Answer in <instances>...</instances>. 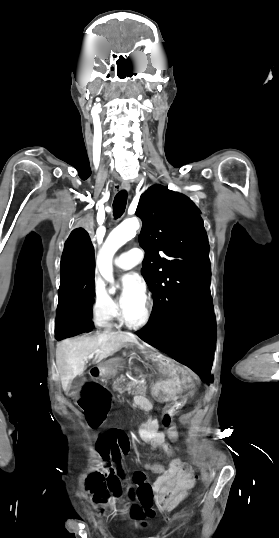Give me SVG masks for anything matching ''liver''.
Masks as SVG:
<instances>
[{
	"mask_svg": "<svg viewBox=\"0 0 279 538\" xmlns=\"http://www.w3.org/2000/svg\"><path fill=\"white\" fill-rule=\"evenodd\" d=\"M126 342L138 344L134 336L113 332V334H97L95 338H68L58 342L56 348V364L60 374L64 392L74 378L82 376L85 370V360L90 354H98L97 362L112 356L124 348Z\"/></svg>",
	"mask_w": 279,
	"mask_h": 538,
	"instance_id": "1",
	"label": "liver"
}]
</instances>
